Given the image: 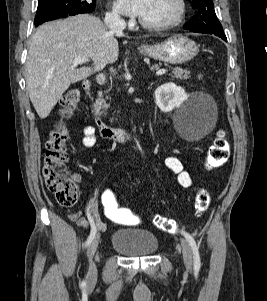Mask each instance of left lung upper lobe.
Returning a JSON list of instances; mask_svg holds the SVG:
<instances>
[{
    "label": "left lung upper lobe",
    "mask_w": 267,
    "mask_h": 301,
    "mask_svg": "<svg viewBox=\"0 0 267 301\" xmlns=\"http://www.w3.org/2000/svg\"><path fill=\"white\" fill-rule=\"evenodd\" d=\"M196 9V16L192 17L184 29L192 32L222 35L224 34L212 0H189Z\"/></svg>",
    "instance_id": "1"
}]
</instances>
